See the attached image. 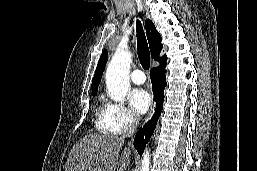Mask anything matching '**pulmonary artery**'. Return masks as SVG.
Masks as SVG:
<instances>
[{
  "label": "pulmonary artery",
  "mask_w": 257,
  "mask_h": 171,
  "mask_svg": "<svg viewBox=\"0 0 257 171\" xmlns=\"http://www.w3.org/2000/svg\"><path fill=\"white\" fill-rule=\"evenodd\" d=\"M131 80L134 84L141 85L146 81V76L142 70L135 69L131 74Z\"/></svg>",
  "instance_id": "obj_1"
}]
</instances>
